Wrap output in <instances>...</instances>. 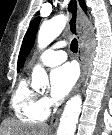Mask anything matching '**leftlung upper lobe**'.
Instances as JSON below:
<instances>
[{"label": "left lung upper lobe", "mask_w": 112, "mask_h": 135, "mask_svg": "<svg viewBox=\"0 0 112 135\" xmlns=\"http://www.w3.org/2000/svg\"><path fill=\"white\" fill-rule=\"evenodd\" d=\"M39 22H40V17L35 18L30 23V26H29V28L24 36L23 43H22L20 53H19V57H18V66H17L18 70L23 66L24 61H25L31 47L34 44V39L36 36Z\"/></svg>", "instance_id": "left-lung-upper-lobe-1"}]
</instances>
